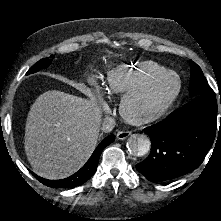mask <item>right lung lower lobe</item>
<instances>
[{"label": "right lung lower lobe", "instance_id": "1", "mask_svg": "<svg viewBox=\"0 0 221 221\" xmlns=\"http://www.w3.org/2000/svg\"><path fill=\"white\" fill-rule=\"evenodd\" d=\"M115 135L107 136L94 150L93 154L86 162V164L78 170L73 175L59 180H48L37 176L35 173L31 172L36 179L46 186L52 188H74L85 183L96 171L98 161L103 149L114 142Z\"/></svg>", "mask_w": 221, "mask_h": 221}]
</instances>
